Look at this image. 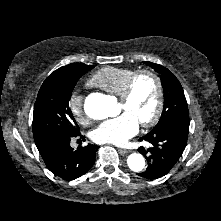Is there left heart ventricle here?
I'll return each instance as SVG.
<instances>
[{
	"label": "left heart ventricle",
	"instance_id": "left-heart-ventricle-1",
	"mask_svg": "<svg viewBox=\"0 0 221 221\" xmlns=\"http://www.w3.org/2000/svg\"><path fill=\"white\" fill-rule=\"evenodd\" d=\"M157 90L154 80L149 76L140 77L134 85L131 98L118 103V113L127 112L138 122L149 119L155 109Z\"/></svg>",
	"mask_w": 221,
	"mask_h": 221
}]
</instances>
